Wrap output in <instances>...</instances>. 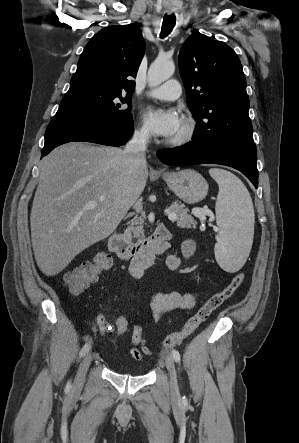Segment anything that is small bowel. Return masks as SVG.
Wrapping results in <instances>:
<instances>
[{
    "instance_id": "c3829d8e",
    "label": "small bowel",
    "mask_w": 299,
    "mask_h": 443,
    "mask_svg": "<svg viewBox=\"0 0 299 443\" xmlns=\"http://www.w3.org/2000/svg\"><path fill=\"white\" fill-rule=\"evenodd\" d=\"M195 251V243L191 240L184 242L183 244V255L182 257L165 252L163 254L164 261L168 269L177 270L182 264L183 259H187L193 255ZM145 268L139 267L135 264H131L129 271L131 276L137 280H142L144 276ZM196 293L187 292L179 293L176 291L172 292H155L151 295L150 306L153 316L158 320L164 313L172 310H188L194 307L196 302ZM97 324L101 334L113 333L112 325L108 323L102 315L97 316ZM131 356L135 360H142L145 355L150 354L149 348L146 346L144 341L140 346H131L129 348Z\"/></svg>"
}]
</instances>
